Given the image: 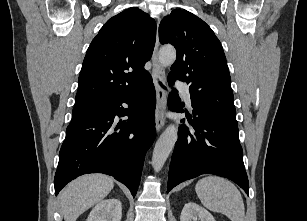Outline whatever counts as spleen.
Wrapping results in <instances>:
<instances>
[{"mask_svg":"<svg viewBox=\"0 0 307 221\" xmlns=\"http://www.w3.org/2000/svg\"><path fill=\"white\" fill-rule=\"evenodd\" d=\"M195 191L207 209L222 213L231 221H244L242 196L230 181L218 176H207L197 182Z\"/></svg>","mask_w":307,"mask_h":221,"instance_id":"1","label":"spleen"}]
</instances>
